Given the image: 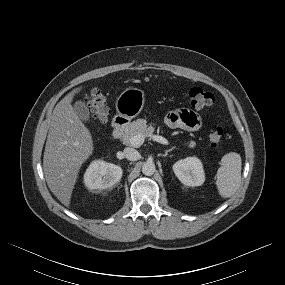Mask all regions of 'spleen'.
<instances>
[{"mask_svg":"<svg viewBox=\"0 0 285 285\" xmlns=\"http://www.w3.org/2000/svg\"><path fill=\"white\" fill-rule=\"evenodd\" d=\"M217 171L216 186L221 197L229 198L235 194L241 183V157L238 153L225 154Z\"/></svg>","mask_w":285,"mask_h":285,"instance_id":"1","label":"spleen"}]
</instances>
